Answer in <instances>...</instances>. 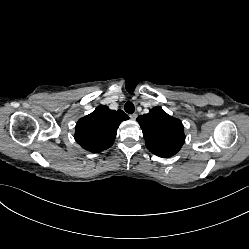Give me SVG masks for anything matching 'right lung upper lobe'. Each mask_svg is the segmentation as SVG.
<instances>
[{
    "mask_svg": "<svg viewBox=\"0 0 249 249\" xmlns=\"http://www.w3.org/2000/svg\"><path fill=\"white\" fill-rule=\"evenodd\" d=\"M128 119L122 110L98 106L92 113L79 119L75 140L87 151L101 152L113 145L120 123Z\"/></svg>",
    "mask_w": 249,
    "mask_h": 249,
    "instance_id": "right-lung-upper-lobe-1",
    "label": "right lung upper lobe"
}]
</instances>
